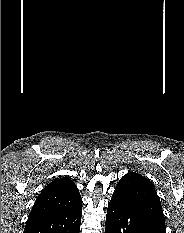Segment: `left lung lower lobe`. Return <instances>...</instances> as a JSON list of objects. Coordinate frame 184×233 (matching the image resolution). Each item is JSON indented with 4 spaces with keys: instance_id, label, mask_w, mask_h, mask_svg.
<instances>
[{
    "instance_id": "left-lung-lower-lobe-1",
    "label": "left lung lower lobe",
    "mask_w": 184,
    "mask_h": 233,
    "mask_svg": "<svg viewBox=\"0 0 184 233\" xmlns=\"http://www.w3.org/2000/svg\"><path fill=\"white\" fill-rule=\"evenodd\" d=\"M105 233H162L125 198L113 195L108 204Z\"/></svg>"
}]
</instances>
